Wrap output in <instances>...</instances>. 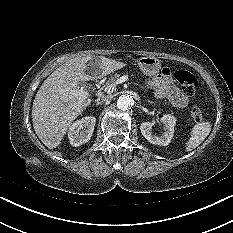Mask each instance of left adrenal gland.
Returning a JSON list of instances; mask_svg holds the SVG:
<instances>
[{"instance_id": "1", "label": "left adrenal gland", "mask_w": 233, "mask_h": 233, "mask_svg": "<svg viewBox=\"0 0 233 233\" xmlns=\"http://www.w3.org/2000/svg\"><path fill=\"white\" fill-rule=\"evenodd\" d=\"M148 102H149V103H154V102H152V101H150V100H148Z\"/></svg>"}]
</instances>
